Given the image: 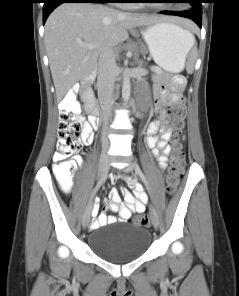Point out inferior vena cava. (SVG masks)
<instances>
[{
  "mask_svg": "<svg viewBox=\"0 0 239 296\" xmlns=\"http://www.w3.org/2000/svg\"><path fill=\"white\" fill-rule=\"evenodd\" d=\"M118 74V67L112 51L105 52L98 63V99L103 119V144H107L106 130L112 115L114 104V84Z\"/></svg>",
  "mask_w": 239,
  "mask_h": 296,
  "instance_id": "602c4592",
  "label": "inferior vena cava"
}]
</instances>
